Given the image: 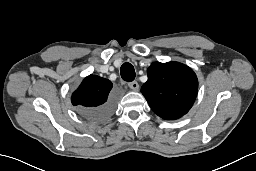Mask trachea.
Returning a JSON list of instances; mask_svg holds the SVG:
<instances>
[{"label": "trachea", "mask_w": 256, "mask_h": 171, "mask_svg": "<svg viewBox=\"0 0 256 171\" xmlns=\"http://www.w3.org/2000/svg\"><path fill=\"white\" fill-rule=\"evenodd\" d=\"M120 74L122 79L127 82H132L136 76L133 65L128 62L121 66Z\"/></svg>", "instance_id": "3493384b"}]
</instances>
